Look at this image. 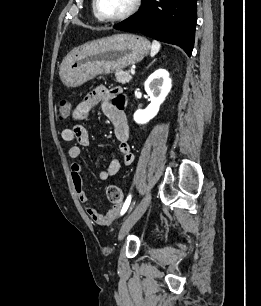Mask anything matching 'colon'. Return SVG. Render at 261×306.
Listing matches in <instances>:
<instances>
[{
    "instance_id": "colon-1",
    "label": "colon",
    "mask_w": 261,
    "mask_h": 306,
    "mask_svg": "<svg viewBox=\"0 0 261 306\" xmlns=\"http://www.w3.org/2000/svg\"><path fill=\"white\" fill-rule=\"evenodd\" d=\"M70 112V104L67 100H60L57 103V114L58 118L60 120H65ZM107 198L110 202L112 203H121L123 200V192L122 190L115 186V185H110L107 187L106 190Z\"/></svg>"
}]
</instances>
